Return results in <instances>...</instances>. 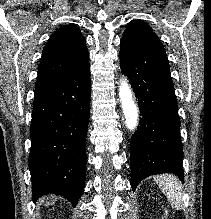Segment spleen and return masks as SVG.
<instances>
[{"label":"spleen","instance_id":"1","mask_svg":"<svg viewBox=\"0 0 211 219\" xmlns=\"http://www.w3.org/2000/svg\"><path fill=\"white\" fill-rule=\"evenodd\" d=\"M155 182L161 188L162 192L167 197L171 206L174 209H179L182 204V186L178 178L175 176L168 175H160L156 176Z\"/></svg>","mask_w":211,"mask_h":219}]
</instances>
